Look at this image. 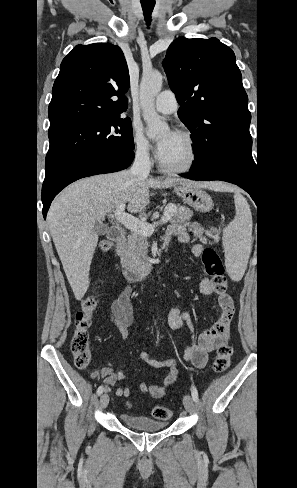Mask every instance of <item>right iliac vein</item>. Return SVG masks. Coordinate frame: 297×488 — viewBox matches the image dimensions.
<instances>
[{
	"label": "right iliac vein",
	"instance_id": "1",
	"mask_svg": "<svg viewBox=\"0 0 297 488\" xmlns=\"http://www.w3.org/2000/svg\"><path fill=\"white\" fill-rule=\"evenodd\" d=\"M108 403H109V396L107 394H103L99 400V407L101 409H104L107 407Z\"/></svg>",
	"mask_w": 297,
	"mask_h": 488
}]
</instances>
